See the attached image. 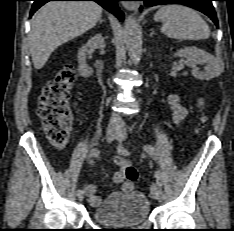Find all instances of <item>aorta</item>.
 Here are the masks:
<instances>
[{"mask_svg":"<svg viewBox=\"0 0 234 231\" xmlns=\"http://www.w3.org/2000/svg\"><path fill=\"white\" fill-rule=\"evenodd\" d=\"M124 40L131 61L137 65L142 55V38L140 26L133 16L125 22Z\"/></svg>","mask_w":234,"mask_h":231,"instance_id":"762f6f07","label":"aorta"}]
</instances>
